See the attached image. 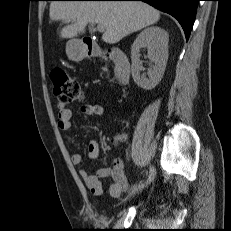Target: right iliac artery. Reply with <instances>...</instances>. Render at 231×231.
<instances>
[{
    "label": "right iliac artery",
    "instance_id": "obj_1",
    "mask_svg": "<svg viewBox=\"0 0 231 231\" xmlns=\"http://www.w3.org/2000/svg\"><path fill=\"white\" fill-rule=\"evenodd\" d=\"M142 185H143V184H141V182L138 183V184H135V185H134V189L137 190L138 188H141Z\"/></svg>",
    "mask_w": 231,
    "mask_h": 231
}]
</instances>
